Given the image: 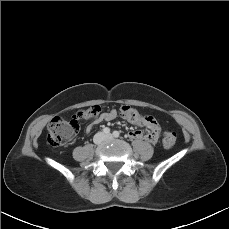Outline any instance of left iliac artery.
<instances>
[{"label":"left iliac artery","instance_id":"obj_1","mask_svg":"<svg viewBox=\"0 0 229 229\" xmlns=\"http://www.w3.org/2000/svg\"><path fill=\"white\" fill-rule=\"evenodd\" d=\"M113 136L114 137H119L120 136V133L118 131H113Z\"/></svg>","mask_w":229,"mask_h":229}]
</instances>
